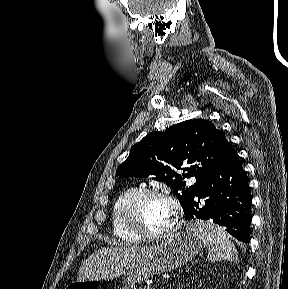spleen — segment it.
I'll return each instance as SVG.
<instances>
[{"label": "spleen", "mask_w": 288, "mask_h": 289, "mask_svg": "<svg viewBox=\"0 0 288 289\" xmlns=\"http://www.w3.org/2000/svg\"><path fill=\"white\" fill-rule=\"evenodd\" d=\"M192 229L204 246L208 248L207 257L210 261H238L235 245L224 227L215 225L211 221H197L192 225Z\"/></svg>", "instance_id": "obj_1"}]
</instances>
